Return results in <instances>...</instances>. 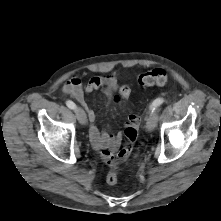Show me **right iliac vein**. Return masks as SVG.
<instances>
[{
	"label": "right iliac vein",
	"instance_id": "right-iliac-vein-1",
	"mask_svg": "<svg viewBox=\"0 0 221 221\" xmlns=\"http://www.w3.org/2000/svg\"><path fill=\"white\" fill-rule=\"evenodd\" d=\"M75 113H76V116H77V119H78L79 123L82 124V125H86L87 116H86L84 110L80 107H77L75 109Z\"/></svg>",
	"mask_w": 221,
	"mask_h": 221
}]
</instances>
